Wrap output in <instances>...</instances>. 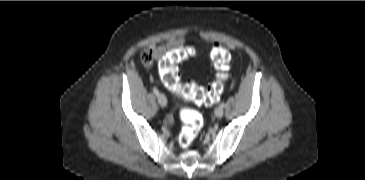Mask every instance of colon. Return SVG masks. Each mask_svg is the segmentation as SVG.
<instances>
[{
	"label": "colon",
	"instance_id": "1",
	"mask_svg": "<svg viewBox=\"0 0 365 180\" xmlns=\"http://www.w3.org/2000/svg\"><path fill=\"white\" fill-rule=\"evenodd\" d=\"M194 53L195 50L192 46L177 47L172 50L160 63L161 80L169 89L182 92L187 98L210 106L217 101L229 78V54L220 44H216L212 48L210 58L216 71V78L209 87L204 89L193 81L185 84L179 82L177 64L187 60ZM141 60L144 65H151L152 52L148 49L142 51ZM181 119L184 126L179 135V143L181 147L187 148L198 136L203 119L199 113L190 110L182 112Z\"/></svg>",
	"mask_w": 365,
	"mask_h": 180
}]
</instances>
